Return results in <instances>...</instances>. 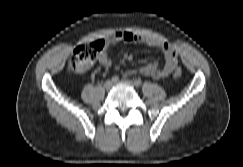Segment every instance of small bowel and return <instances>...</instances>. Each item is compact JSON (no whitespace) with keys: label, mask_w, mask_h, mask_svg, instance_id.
I'll list each match as a JSON object with an SVG mask.
<instances>
[{"label":"small bowel","mask_w":243,"mask_h":167,"mask_svg":"<svg viewBox=\"0 0 243 167\" xmlns=\"http://www.w3.org/2000/svg\"><path fill=\"white\" fill-rule=\"evenodd\" d=\"M117 42L144 43L150 47L158 48L163 52L165 62L162 67H160L157 62H154L139 69L140 73L145 76L163 79L170 75L177 67V52L170 44L161 40L140 36L130 31H118L113 37L105 40V46L98 55V62L102 67L107 69L112 65V61L109 56V48ZM122 57L126 61H131L133 59V53L131 51H124ZM131 74L132 72H128L126 76Z\"/></svg>","instance_id":"c3829d8e"}]
</instances>
